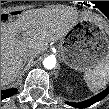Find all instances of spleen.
Returning <instances> with one entry per match:
<instances>
[{
	"label": "spleen",
	"mask_w": 109,
	"mask_h": 109,
	"mask_svg": "<svg viewBox=\"0 0 109 109\" xmlns=\"http://www.w3.org/2000/svg\"><path fill=\"white\" fill-rule=\"evenodd\" d=\"M83 78L91 91L105 88L109 83V63L106 61L93 70L85 72Z\"/></svg>",
	"instance_id": "3e777b00"
}]
</instances>
